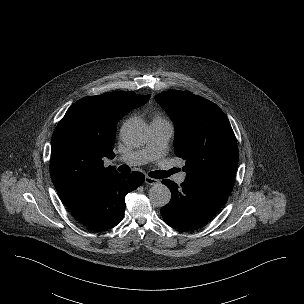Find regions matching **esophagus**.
<instances>
[{"label": "esophagus", "instance_id": "esophagus-1", "mask_svg": "<svg viewBox=\"0 0 304 304\" xmlns=\"http://www.w3.org/2000/svg\"><path fill=\"white\" fill-rule=\"evenodd\" d=\"M145 183L148 185H155L159 183L158 179L151 178L149 176H145Z\"/></svg>", "mask_w": 304, "mask_h": 304}]
</instances>
